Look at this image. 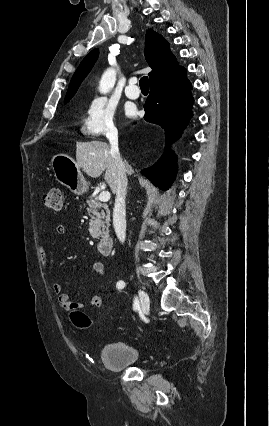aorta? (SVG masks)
Wrapping results in <instances>:
<instances>
[{
    "instance_id": "aorta-1",
    "label": "aorta",
    "mask_w": 269,
    "mask_h": 426,
    "mask_svg": "<svg viewBox=\"0 0 269 426\" xmlns=\"http://www.w3.org/2000/svg\"><path fill=\"white\" fill-rule=\"evenodd\" d=\"M116 81V72L114 69L110 68L107 69L104 74L102 75L100 85H99V91L101 93H107L111 90V88L114 86Z\"/></svg>"
}]
</instances>
